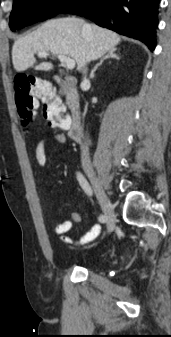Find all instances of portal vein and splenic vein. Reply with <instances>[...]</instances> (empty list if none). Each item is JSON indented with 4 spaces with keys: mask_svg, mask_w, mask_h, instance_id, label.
Listing matches in <instances>:
<instances>
[{
    "mask_svg": "<svg viewBox=\"0 0 171 337\" xmlns=\"http://www.w3.org/2000/svg\"><path fill=\"white\" fill-rule=\"evenodd\" d=\"M49 54L47 52H40L38 53L39 57H47ZM57 58L60 62L64 63L66 67L70 70L75 68V61L68 56L65 55H57Z\"/></svg>",
    "mask_w": 171,
    "mask_h": 337,
    "instance_id": "obj_1",
    "label": "portal vein and splenic vein"
}]
</instances>
